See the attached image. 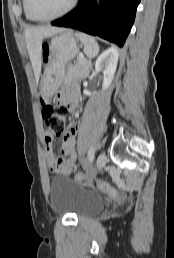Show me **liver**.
<instances>
[{
  "label": "liver",
  "mask_w": 174,
  "mask_h": 258,
  "mask_svg": "<svg viewBox=\"0 0 174 258\" xmlns=\"http://www.w3.org/2000/svg\"><path fill=\"white\" fill-rule=\"evenodd\" d=\"M64 30L61 28L46 26V27H28L25 29V41L30 57V61L34 70L36 83L39 81L41 73L42 59V42L46 37L61 33Z\"/></svg>",
  "instance_id": "6515ba94"
}]
</instances>
